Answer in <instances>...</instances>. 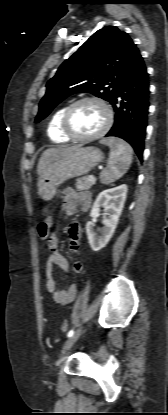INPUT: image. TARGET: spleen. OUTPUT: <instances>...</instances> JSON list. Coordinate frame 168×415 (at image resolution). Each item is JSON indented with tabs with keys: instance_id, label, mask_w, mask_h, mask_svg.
Instances as JSON below:
<instances>
[{
	"instance_id": "obj_1",
	"label": "spleen",
	"mask_w": 168,
	"mask_h": 415,
	"mask_svg": "<svg viewBox=\"0 0 168 415\" xmlns=\"http://www.w3.org/2000/svg\"><path fill=\"white\" fill-rule=\"evenodd\" d=\"M110 147L107 167L100 173L102 184L108 185L120 179L129 169L132 162V148L125 141L114 137L101 140Z\"/></svg>"
}]
</instances>
